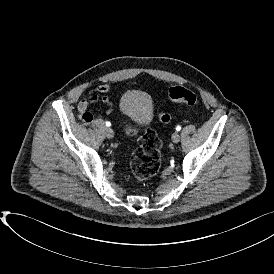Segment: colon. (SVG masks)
<instances>
[{"label": "colon", "instance_id": "obj_1", "mask_svg": "<svg viewBox=\"0 0 274 274\" xmlns=\"http://www.w3.org/2000/svg\"><path fill=\"white\" fill-rule=\"evenodd\" d=\"M169 98L174 103H182L190 106H197L199 99L197 95L183 86H175L169 90ZM169 112H162L158 115L160 123L167 124L171 121ZM124 133L127 136H134L138 129L131 124L123 125ZM161 143L151 127H147L139 145L132 154L130 169L133 175L141 181L150 179L161 167Z\"/></svg>", "mask_w": 274, "mask_h": 274}]
</instances>
